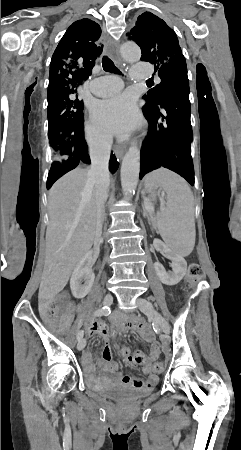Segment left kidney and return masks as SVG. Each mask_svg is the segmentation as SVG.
Segmentation results:
<instances>
[{
	"instance_id": "1",
	"label": "left kidney",
	"mask_w": 241,
	"mask_h": 450,
	"mask_svg": "<svg viewBox=\"0 0 241 450\" xmlns=\"http://www.w3.org/2000/svg\"><path fill=\"white\" fill-rule=\"evenodd\" d=\"M153 246L155 250L164 254L165 258H168V260H171L172 262L171 268L173 272H166L164 266H162L160 262H155L154 268L160 282L166 284V286H175V284H178L185 276L187 268L186 260H184L182 256L174 254V252H172L168 246H165L164 242H161V240H154Z\"/></svg>"
}]
</instances>
